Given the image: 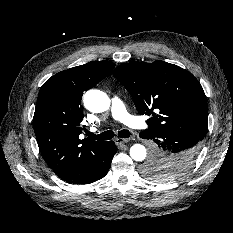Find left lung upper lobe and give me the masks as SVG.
Wrapping results in <instances>:
<instances>
[{"mask_svg":"<svg viewBox=\"0 0 233 233\" xmlns=\"http://www.w3.org/2000/svg\"><path fill=\"white\" fill-rule=\"evenodd\" d=\"M113 75L130 93L138 112L151 116L146 130H185L196 133L202 142L208 128L207 101L190 72L155 61L122 64ZM164 171L172 169L160 158H151L143 168V173L155 180H165L158 175Z\"/></svg>","mask_w":233,"mask_h":233,"instance_id":"5c2ea615","label":"left lung upper lobe"}]
</instances>
